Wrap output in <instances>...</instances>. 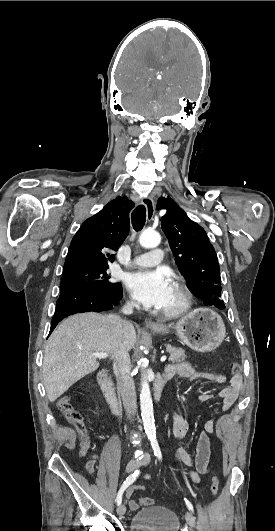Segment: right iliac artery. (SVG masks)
I'll return each instance as SVG.
<instances>
[{"mask_svg":"<svg viewBox=\"0 0 275 531\" xmlns=\"http://www.w3.org/2000/svg\"><path fill=\"white\" fill-rule=\"evenodd\" d=\"M139 473L140 471L139 470H136L133 474H131L130 476H128L126 478V480L123 482L118 494H117V497H116V502H117V505H120L121 502H122V495H123V492L124 490L129 486L131 485L136 479L137 477L139 476Z\"/></svg>","mask_w":275,"mask_h":531,"instance_id":"right-iliac-artery-1","label":"right iliac artery"}]
</instances>
